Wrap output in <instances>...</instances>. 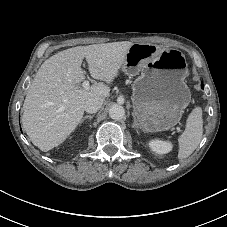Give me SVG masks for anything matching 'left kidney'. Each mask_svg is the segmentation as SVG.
Instances as JSON below:
<instances>
[{"label": "left kidney", "mask_w": 227, "mask_h": 227, "mask_svg": "<svg viewBox=\"0 0 227 227\" xmlns=\"http://www.w3.org/2000/svg\"><path fill=\"white\" fill-rule=\"evenodd\" d=\"M149 147L157 154H166L172 150L171 142L162 140H151Z\"/></svg>", "instance_id": "5707ae66"}]
</instances>
